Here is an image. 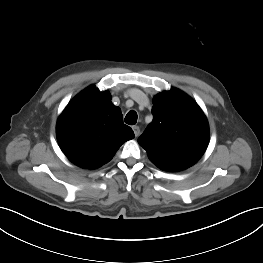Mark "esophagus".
Listing matches in <instances>:
<instances>
[{"instance_id":"obj_1","label":"esophagus","mask_w":263,"mask_h":263,"mask_svg":"<svg viewBox=\"0 0 263 263\" xmlns=\"http://www.w3.org/2000/svg\"><path fill=\"white\" fill-rule=\"evenodd\" d=\"M134 134L136 137H138L140 135V128L138 126H133L132 127Z\"/></svg>"}]
</instances>
